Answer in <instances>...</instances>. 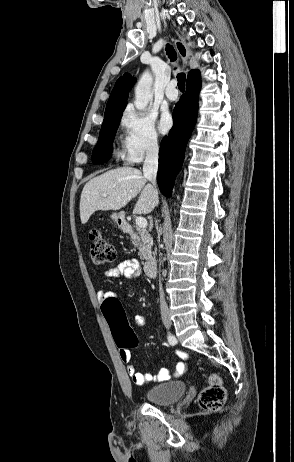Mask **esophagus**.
<instances>
[{"instance_id": "esophagus-1", "label": "esophagus", "mask_w": 294, "mask_h": 462, "mask_svg": "<svg viewBox=\"0 0 294 462\" xmlns=\"http://www.w3.org/2000/svg\"><path fill=\"white\" fill-rule=\"evenodd\" d=\"M174 43H175V47H176V49H177L183 63L187 64V59H188L190 53H189V50H188L186 44L183 41L178 40V39H176L174 41Z\"/></svg>"}]
</instances>
